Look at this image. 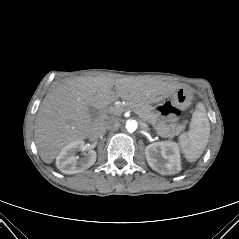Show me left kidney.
Here are the masks:
<instances>
[{
	"instance_id": "1",
	"label": "left kidney",
	"mask_w": 239,
	"mask_h": 239,
	"mask_svg": "<svg viewBox=\"0 0 239 239\" xmlns=\"http://www.w3.org/2000/svg\"><path fill=\"white\" fill-rule=\"evenodd\" d=\"M145 155L149 166L159 174L173 175L181 170L179 146L173 141L149 144Z\"/></svg>"
}]
</instances>
